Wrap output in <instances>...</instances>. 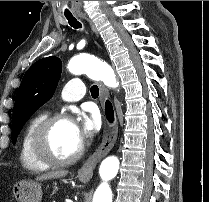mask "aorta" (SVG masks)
<instances>
[{"label":"aorta","mask_w":209,"mask_h":202,"mask_svg":"<svg viewBox=\"0 0 209 202\" xmlns=\"http://www.w3.org/2000/svg\"><path fill=\"white\" fill-rule=\"evenodd\" d=\"M68 70L74 75L86 74L92 79L101 80L111 88L119 86L113 69L90 55L81 54L72 57L68 63ZM118 170L119 160L116 156H109L102 161L99 168L102 182L97 187L92 202H112L113 194L108 181L117 175Z\"/></svg>","instance_id":"762f6f07"}]
</instances>
